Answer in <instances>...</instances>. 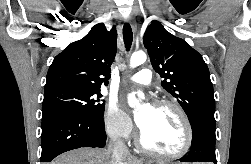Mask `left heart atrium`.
<instances>
[{"label":"left heart atrium","mask_w":251,"mask_h":164,"mask_svg":"<svg viewBox=\"0 0 251 164\" xmlns=\"http://www.w3.org/2000/svg\"><path fill=\"white\" fill-rule=\"evenodd\" d=\"M144 123H145V120H144V119H142V118H138V119H137V124H138V126H139L140 129L143 128Z\"/></svg>","instance_id":"obj_1"}]
</instances>
